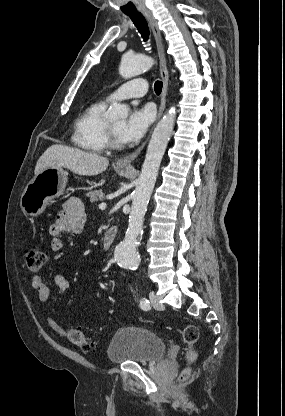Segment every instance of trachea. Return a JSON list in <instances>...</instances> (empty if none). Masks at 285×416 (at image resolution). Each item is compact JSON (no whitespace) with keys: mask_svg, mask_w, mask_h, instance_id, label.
<instances>
[{"mask_svg":"<svg viewBox=\"0 0 285 416\" xmlns=\"http://www.w3.org/2000/svg\"><path fill=\"white\" fill-rule=\"evenodd\" d=\"M128 17L131 18L134 25L137 27L139 33L141 34L144 42H147L150 32L148 28V24L143 17L142 13H129L126 14ZM163 88V83L161 81H156L154 84V90L157 95H160Z\"/></svg>","mask_w":285,"mask_h":416,"instance_id":"obj_1","label":"trachea"}]
</instances>
